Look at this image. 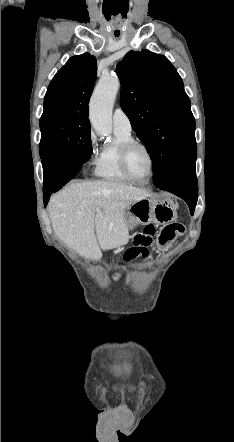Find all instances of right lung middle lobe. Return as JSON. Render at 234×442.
Returning a JSON list of instances; mask_svg holds the SVG:
<instances>
[{"instance_id":"dd1d6c3e","label":"right lung middle lobe","mask_w":234,"mask_h":442,"mask_svg":"<svg viewBox=\"0 0 234 442\" xmlns=\"http://www.w3.org/2000/svg\"><path fill=\"white\" fill-rule=\"evenodd\" d=\"M41 160L48 157L69 154L83 164L92 154L90 123L87 119L58 115L40 119Z\"/></svg>"}]
</instances>
